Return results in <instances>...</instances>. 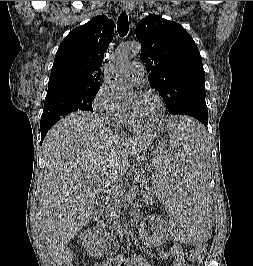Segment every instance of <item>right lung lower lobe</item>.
<instances>
[{"mask_svg":"<svg viewBox=\"0 0 253 266\" xmlns=\"http://www.w3.org/2000/svg\"><path fill=\"white\" fill-rule=\"evenodd\" d=\"M49 129L50 128L40 129L41 130V143L43 142V140H44V138H45V136H46V134H47Z\"/></svg>","mask_w":253,"mask_h":266,"instance_id":"obj_1","label":"right lung lower lobe"}]
</instances>
